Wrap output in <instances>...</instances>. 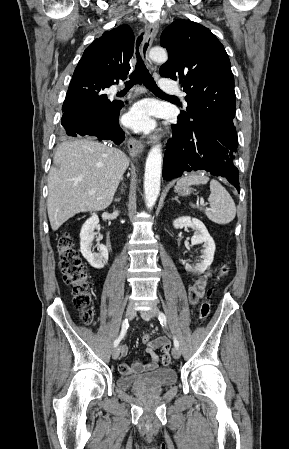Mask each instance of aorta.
<instances>
[{"label":"aorta","mask_w":289,"mask_h":449,"mask_svg":"<svg viewBox=\"0 0 289 449\" xmlns=\"http://www.w3.org/2000/svg\"><path fill=\"white\" fill-rule=\"evenodd\" d=\"M149 57L157 63H165L168 59L166 50L161 47L152 48ZM161 167L162 150L161 145L157 144L149 151L145 165L144 193L148 209L155 205L160 193Z\"/></svg>","instance_id":"obj_1"}]
</instances>
